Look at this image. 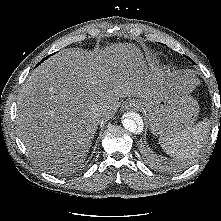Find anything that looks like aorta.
<instances>
[{"label":"aorta","instance_id":"obj_1","mask_svg":"<svg viewBox=\"0 0 221 221\" xmlns=\"http://www.w3.org/2000/svg\"><path fill=\"white\" fill-rule=\"evenodd\" d=\"M123 127L130 133H137L143 130V121L138 114H127L122 120Z\"/></svg>","mask_w":221,"mask_h":221}]
</instances>
